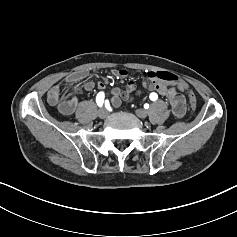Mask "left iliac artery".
Masks as SVG:
<instances>
[{
    "instance_id": "obj_1",
    "label": "left iliac artery",
    "mask_w": 237,
    "mask_h": 237,
    "mask_svg": "<svg viewBox=\"0 0 237 237\" xmlns=\"http://www.w3.org/2000/svg\"><path fill=\"white\" fill-rule=\"evenodd\" d=\"M149 97H150V99H151L152 101H156V100L158 99V95H157L156 93H154V92L151 93ZM146 109H147V108H146Z\"/></svg>"
}]
</instances>
